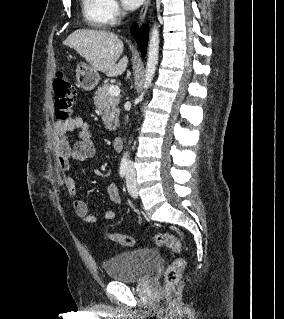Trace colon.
I'll use <instances>...</instances> for the list:
<instances>
[{"instance_id": "1", "label": "colon", "mask_w": 284, "mask_h": 319, "mask_svg": "<svg viewBox=\"0 0 284 319\" xmlns=\"http://www.w3.org/2000/svg\"><path fill=\"white\" fill-rule=\"evenodd\" d=\"M54 90V108L55 115L59 121H67L71 118L75 100L76 91L70 81L62 73H58L53 81ZM105 237L112 242L123 246L131 247L135 244V239L131 236L108 233ZM156 246L168 247L174 253H181L182 243L171 234L157 233L151 237ZM185 267V260L182 257L176 258L167 268L165 272L164 288L170 293L178 284L181 272Z\"/></svg>"}]
</instances>
